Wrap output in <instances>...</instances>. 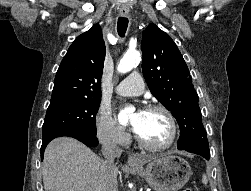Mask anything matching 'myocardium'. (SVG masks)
I'll return each instance as SVG.
<instances>
[{"label": "myocardium", "instance_id": "f54148a6", "mask_svg": "<svg viewBox=\"0 0 251 191\" xmlns=\"http://www.w3.org/2000/svg\"><path fill=\"white\" fill-rule=\"evenodd\" d=\"M146 111H160L166 115L170 123V127H171V137H170V140L166 144L155 146V145L149 144L136 132L135 137L139 146H141L142 148L146 150L154 151V152L165 151L174 147L178 140V125H177V122L173 113L168 108L162 105H149L146 108Z\"/></svg>", "mask_w": 251, "mask_h": 191}]
</instances>
